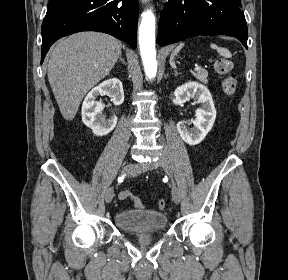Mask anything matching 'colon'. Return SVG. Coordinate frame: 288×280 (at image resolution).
<instances>
[{
	"instance_id": "5ec220e1",
	"label": "colon",
	"mask_w": 288,
	"mask_h": 280,
	"mask_svg": "<svg viewBox=\"0 0 288 280\" xmlns=\"http://www.w3.org/2000/svg\"><path fill=\"white\" fill-rule=\"evenodd\" d=\"M214 69L215 71L222 77L221 79V88L223 92L227 95H231L235 92L236 90V76L232 72V63L231 61L224 59V58H219L215 60L214 62ZM119 199L120 200H131L134 204L135 207L137 208H143L144 205L141 201V199L137 196H134L132 193L129 191H122L119 194ZM158 208L160 210H163L166 206V202L163 199H160L157 203Z\"/></svg>"
}]
</instances>
